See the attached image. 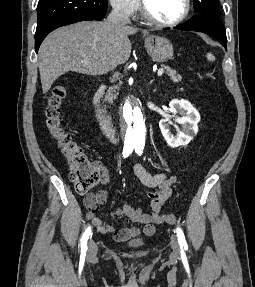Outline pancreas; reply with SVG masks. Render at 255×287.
<instances>
[{
  "label": "pancreas",
  "mask_w": 255,
  "mask_h": 287,
  "mask_svg": "<svg viewBox=\"0 0 255 287\" xmlns=\"http://www.w3.org/2000/svg\"><path fill=\"white\" fill-rule=\"evenodd\" d=\"M162 68H164V70H166L168 76H170L171 80H173V82H180V80H182L180 74H176V70H171V68H169V66H162ZM116 90H119L118 86H114V90H108L105 98H104V102H109V104H112L113 100H116L118 94H114V92H116Z\"/></svg>",
  "instance_id": "pancreas-1"
}]
</instances>
